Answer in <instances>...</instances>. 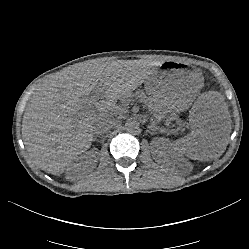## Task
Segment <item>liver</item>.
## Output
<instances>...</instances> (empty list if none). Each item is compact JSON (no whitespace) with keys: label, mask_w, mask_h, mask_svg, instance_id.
<instances>
[{"label":"liver","mask_w":249,"mask_h":249,"mask_svg":"<svg viewBox=\"0 0 249 249\" xmlns=\"http://www.w3.org/2000/svg\"><path fill=\"white\" fill-rule=\"evenodd\" d=\"M152 76L148 67H69L35 86L22 118L23 142L33 164L55 176L76 171L75 159L86 153L93 142L92 125L102 115L117 108L118 100L130 95ZM104 100L96 101L95 94ZM162 92H150L166 114L179 122L188 104L174 107L160 98ZM96 102L95 110H87ZM190 134L175 140L172 155H185L201 162L219 158L229 142L231 118L224 98L206 91L198 96L189 111Z\"/></svg>","instance_id":"obj_1"}]
</instances>
